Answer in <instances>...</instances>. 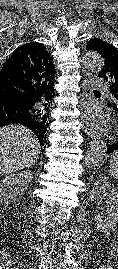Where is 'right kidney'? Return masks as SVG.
<instances>
[{"instance_id": "right-kidney-1", "label": "right kidney", "mask_w": 118, "mask_h": 269, "mask_svg": "<svg viewBox=\"0 0 118 269\" xmlns=\"http://www.w3.org/2000/svg\"><path fill=\"white\" fill-rule=\"evenodd\" d=\"M33 179L31 171H21L6 176L0 182V203L7 207L17 195H22Z\"/></svg>"}]
</instances>
